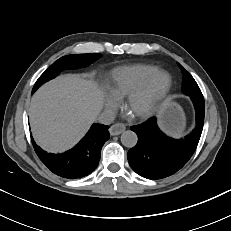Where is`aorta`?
I'll use <instances>...</instances> for the list:
<instances>
[{
    "instance_id": "obj_1",
    "label": "aorta",
    "mask_w": 231,
    "mask_h": 231,
    "mask_svg": "<svg viewBox=\"0 0 231 231\" xmlns=\"http://www.w3.org/2000/svg\"><path fill=\"white\" fill-rule=\"evenodd\" d=\"M138 137L134 131L127 130L121 134V143L128 148H132L137 144Z\"/></svg>"
}]
</instances>
